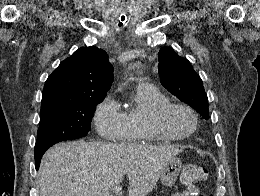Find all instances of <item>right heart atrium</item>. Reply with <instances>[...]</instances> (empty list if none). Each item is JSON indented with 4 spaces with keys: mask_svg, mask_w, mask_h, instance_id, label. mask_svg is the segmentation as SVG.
Segmentation results:
<instances>
[{
    "mask_svg": "<svg viewBox=\"0 0 260 196\" xmlns=\"http://www.w3.org/2000/svg\"><path fill=\"white\" fill-rule=\"evenodd\" d=\"M93 120L100 138L95 143H112L117 130L124 127V115L118 102L111 96H105L95 107ZM143 190H135L142 192Z\"/></svg>",
    "mask_w": 260,
    "mask_h": 196,
    "instance_id": "d8ad5b80",
    "label": "right heart atrium"
}]
</instances>
